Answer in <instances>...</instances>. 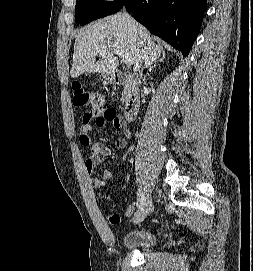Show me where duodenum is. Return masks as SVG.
<instances>
[{"instance_id":"1","label":"duodenum","mask_w":253,"mask_h":271,"mask_svg":"<svg viewBox=\"0 0 253 271\" xmlns=\"http://www.w3.org/2000/svg\"><path fill=\"white\" fill-rule=\"evenodd\" d=\"M111 81L118 86L126 88V99L123 107L125 119L132 120L140 107L139 88L140 82L130 73L114 71L111 74Z\"/></svg>"}]
</instances>
